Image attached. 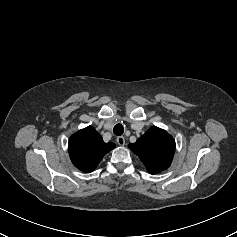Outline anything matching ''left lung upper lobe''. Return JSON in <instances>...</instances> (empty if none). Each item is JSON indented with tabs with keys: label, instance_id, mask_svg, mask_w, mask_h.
Returning a JSON list of instances; mask_svg holds the SVG:
<instances>
[{
	"label": "left lung upper lobe",
	"instance_id": "left-lung-upper-lobe-1",
	"mask_svg": "<svg viewBox=\"0 0 237 237\" xmlns=\"http://www.w3.org/2000/svg\"><path fill=\"white\" fill-rule=\"evenodd\" d=\"M129 148L140 158L151 174L166 170L173 159L175 140L165 130L151 127Z\"/></svg>",
	"mask_w": 237,
	"mask_h": 237
}]
</instances>
